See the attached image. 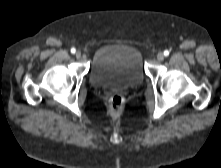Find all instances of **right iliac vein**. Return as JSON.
Here are the masks:
<instances>
[{
    "label": "right iliac vein",
    "instance_id": "right-iliac-vein-1",
    "mask_svg": "<svg viewBox=\"0 0 221 168\" xmlns=\"http://www.w3.org/2000/svg\"><path fill=\"white\" fill-rule=\"evenodd\" d=\"M75 56H76L77 59L81 58V52H80V51H77V52L75 53Z\"/></svg>",
    "mask_w": 221,
    "mask_h": 168
}]
</instances>
